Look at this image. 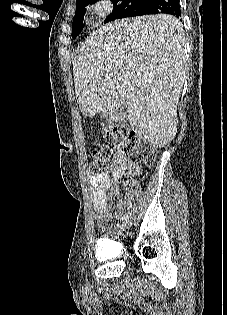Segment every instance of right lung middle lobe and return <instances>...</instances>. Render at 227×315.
I'll return each instance as SVG.
<instances>
[{
  "instance_id": "obj_1",
  "label": "right lung middle lobe",
  "mask_w": 227,
  "mask_h": 315,
  "mask_svg": "<svg viewBox=\"0 0 227 315\" xmlns=\"http://www.w3.org/2000/svg\"><path fill=\"white\" fill-rule=\"evenodd\" d=\"M98 0H76V12L73 18V29H72V37L77 36L83 28V18L85 14V7L89 4H92ZM114 7L112 13L105 19V23L120 19L126 8H139L141 7L146 0H111Z\"/></svg>"
}]
</instances>
